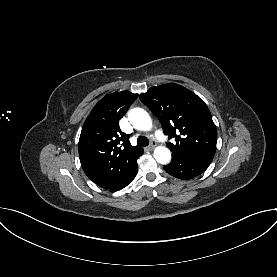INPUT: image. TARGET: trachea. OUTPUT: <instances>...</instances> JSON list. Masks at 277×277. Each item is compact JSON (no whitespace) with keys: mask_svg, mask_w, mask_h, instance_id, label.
<instances>
[{"mask_svg":"<svg viewBox=\"0 0 277 277\" xmlns=\"http://www.w3.org/2000/svg\"><path fill=\"white\" fill-rule=\"evenodd\" d=\"M149 144V140L144 136H139L137 138V145L141 147H145Z\"/></svg>","mask_w":277,"mask_h":277,"instance_id":"trachea-1","label":"trachea"}]
</instances>
